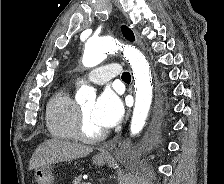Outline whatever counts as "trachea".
<instances>
[{"mask_svg":"<svg viewBox=\"0 0 224 184\" xmlns=\"http://www.w3.org/2000/svg\"><path fill=\"white\" fill-rule=\"evenodd\" d=\"M122 80L123 81H131V75H130V73L129 72H124L122 74Z\"/></svg>","mask_w":224,"mask_h":184,"instance_id":"1","label":"trachea"}]
</instances>
